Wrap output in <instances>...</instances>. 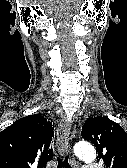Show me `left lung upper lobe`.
Returning <instances> with one entry per match:
<instances>
[{
  "instance_id": "left-lung-upper-lobe-1",
  "label": "left lung upper lobe",
  "mask_w": 127,
  "mask_h": 168,
  "mask_svg": "<svg viewBox=\"0 0 127 168\" xmlns=\"http://www.w3.org/2000/svg\"><path fill=\"white\" fill-rule=\"evenodd\" d=\"M81 135L94 144L104 168H127V133L119 124L107 117H91Z\"/></svg>"
}]
</instances>
